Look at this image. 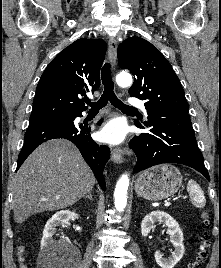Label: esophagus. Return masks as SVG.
<instances>
[{"label":"esophagus","mask_w":221,"mask_h":268,"mask_svg":"<svg viewBox=\"0 0 221 268\" xmlns=\"http://www.w3.org/2000/svg\"><path fill=\"white\" fill-rule=\"evenodd\" d=\"M109 54L111 58V63L113 68L116 65V59H117V41L114 38L109 39ZM125 151L121 148H115L111 152V160L116 163L120 164L123 162Z\"/></svg>","instance_id":"esophagus-1"}]
</instances>
